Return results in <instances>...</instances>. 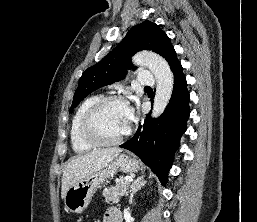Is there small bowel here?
<instances>
[{"label":"small bowel","instance_id":"obj_1","mask_svg":"<svg viewBox=\"0 0 257 222\" xmlns=\"http://www.w3.org/2000/svg\"><path fill=\"white\" fill-rule=\"evenodd\" d=\"M105 222H121L120 214L116 208H109L105 213Z\"/></svg>","mask_w":257,"mask_h":222}]
</instances>
